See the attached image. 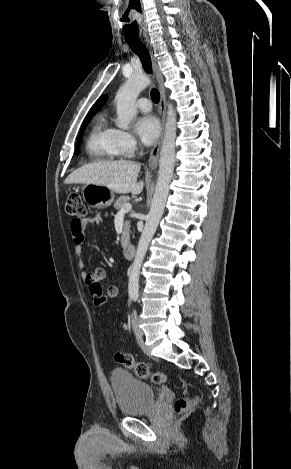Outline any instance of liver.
I'll return each instance as SVG.
<instances>
[{
  "label": "liver",
  "instance_id": "liver-1",
  "mask_svg": "<svg viewBox=\"0 0 291 469\" xmlns=\"http://www.w3.org/2000/svg\"><path fill=\"white\" fill-rule=\"evenodd\" d=\"M141 165L130 160L100 161L86 164L73 171L65 184H96L106 186L113 192L140 194L143 181H137Z\"/></svg>",
  "mask_w": 291,
  "mask_h": 469
}]
</instances>
